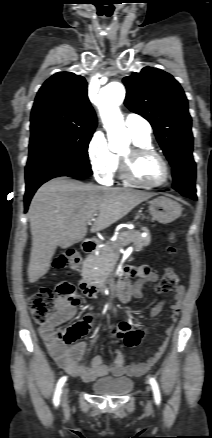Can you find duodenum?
<instances>
[{
    "mask_svg": "<svg viewBox=\"0 0 212 438\" xmlns=\"http://www.w3.org/2000/svg\"><path fill=\"white\" fill-rule=\"evenodd\" d=\"M97 249V242L95 239H86L82 243V250L87 254L95 253ZM82 291L90 297H96L103 291L104 285L91 281L85 273L80 281Z\"/></svg>",
    "mask_w": 212,
    "mask_h": 438,
    "instance_id": "410a0bca",
    "label": "duodenum"
}]
</instances>
